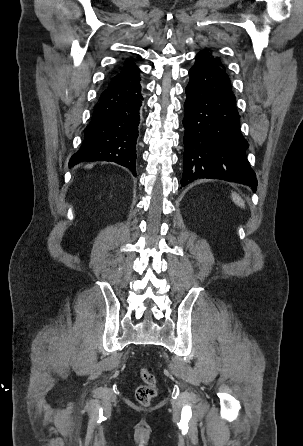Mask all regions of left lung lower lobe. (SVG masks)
<instances>
[{
    "label": "left lung lower lobe",
    "mask_w": 303,
    "mask_h": 446,
    "mask_svg": "<svg viewBox=\"0 0 303 446\" xmlns=\"http://www.w3.org/2000/svg\"><path fill=\"white\" fill-rule=\"evenodd\" d=\"M183 125V186L198 178L221 179L257 188L245 150L229 76L204 53L189 70Z\"/></svg>",
    "instance_id": "obj_1"
}]
</instances>
